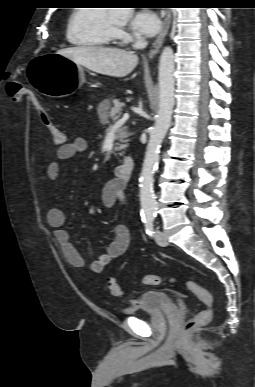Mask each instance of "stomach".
<instances>
[{
	"instance_id": "0dacf381",
	"label": "stomach",
	"mask_w": 255,
	"mask_h": 387,
	"mask_svg": "<svg viewBox=\"0 0 255 387\" xmlns=\"http://www.w3.org/2000/svg\"><path fill=\"white\" fill-rule=\"evenodd\" d=\"M41 53L29 61L26 75V82H32L34 91L51 95L52 99H65L67 92L83 84L85 75L81 65L55 54L53 46H41Z\"/></svg>"
}]
</instances>
